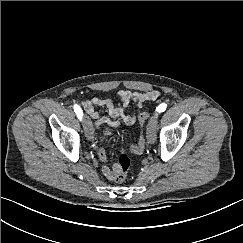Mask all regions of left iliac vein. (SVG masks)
Wrapping results in <instances>:
<instances>
[{
  "label": "left iliac vein",
  "mask_w": 243,
  "mask_h": 243,
  "mask_svg": "<svg viewBox=\"0 0 243 243\" xmlns=\"http://www.w3.org/2000/svg\"><path fill=\"white\" fill-rule=\"evenodd\" d=\"M157 114L155 113L149 120L147 124V132L146 138L148 143L153 144L156 141V121H157Z\"/></svg>",
  "instance_id": "left-iliac-vein-1"
}]
</instances>
